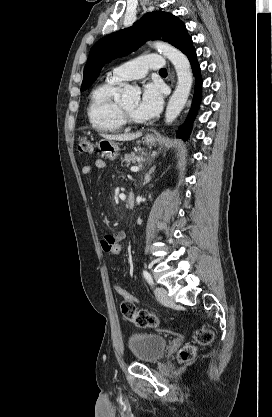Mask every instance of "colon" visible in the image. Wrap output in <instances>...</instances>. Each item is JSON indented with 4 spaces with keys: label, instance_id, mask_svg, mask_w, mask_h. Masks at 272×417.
I'll return each mask as SVG.
<instances>
[{
    "label": "colon",
    "instance_id": "colon-1",
    "mask_svg": "<svg viewBox=\"0 0 272 417\" xmlns=\"http://www.w3.org/2000/svg\"><path fill=\"white\" fill-rule=\"evenodd\" d=\"M78 152L82 155H92L95 152L93 143L87 136H81L77 145ZM124 245L122 239L112 240L107 245L106 252L112 257H118L123 251ZM115 291L122 297L121 312L122 315L136 326L147 328L158 325V318L147 310L137 309V300L129 294L123 287L115 285ZM195 341L200 345L208 344L213 339V332L208 328H202L195 333ZM195 348L186 346L180 353L182 361H188L193 358Z\"/></svg>",
    "mask_w": 272,
    "mask_h": 417
}]
</instances>
